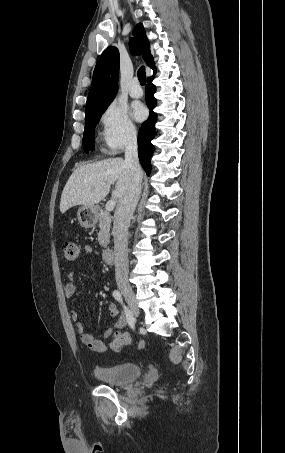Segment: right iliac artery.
<instances>
[{"label": "right iliac artery", "mask_w": 285, "mask_h": 453, "mask_svg": "<svg viewBox=\"0 0 285 453\" xmlns=\"http://www.w3.org/2000/svg\"><path fill=\"white\" fill-rule=\"evenodd\" d=\"M113 297H114L118 302H120V303L123 305L124 312H125V315H126L128 324H129V326H130L132 329H134V328H135V326H134V318H133V316H132L131 311H130V310L128 309V307L123 303V298H122L121 293H120L118 290H114V291H113Z\"/></svg>", "instance_id": "obj_1"}]
</instances>
